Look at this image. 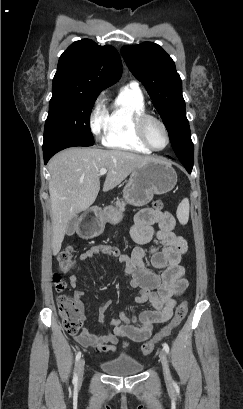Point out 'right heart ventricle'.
Here are the masks:
<instances>
[{
  "instance_id": "e07e8e85",
  "label": "right heart ventricle",
  "mask_w": 243,
  "mask_h": 409,
  "mask_svg": "<svg viewBox=\"0 0 243 409\" xmlns=\"http://www.w3.org/2000/svg\"><path fill=\"white\" fill-rule=\"evenodd\" d=\"M109 125L104 144L110 148L150 154V150L137 135L136 117L146 111L140 90L123 87L109 105Z\"/></svg>"
}]
</instances>
